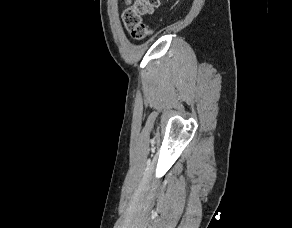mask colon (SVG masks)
<instances>
[{"instance_id":"obj_1","label":"colon","mask_w":292,"mask_h":228,"mask_svg":"<svg viewBox=\"0 0 292 228\" xmlns=\"http://www.w3.org/2000/svg\"><path fill=\"white\" fill-rule=\"evenodd\" d=\"M159 5L160 0H137L123 12L124 26L133 39L142 40L150 34L142 18L153 14Z\"/></svg>"}]
</instances>
